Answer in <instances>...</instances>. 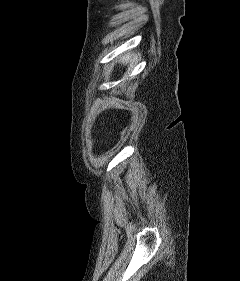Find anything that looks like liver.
Returning a JSON list of instances; mask_svg holds the SVG:
<instances>
[{
	"label": "liver",
	"mask_w": 240,
	"mask_h": 281,
	"mask_svg": "<svg viewBox=\"0 0 240 281\" xmlns=\"http://www.w3.org/2000/svg\"><path fill=\"white\" fill-rule=\"evenodd\" d=\"M129 59H130V55H129V54H126L125 56H123V57L121 58V61L124 63V62H127Z\"/></svg>",
	"instance_id": "liver-1"
}]
</instances>
